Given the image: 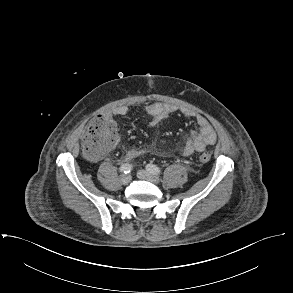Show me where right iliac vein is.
<instances>
[{
    "instance_id": "1",
    "label": "right iliac vein",
    "mask_w": 293,
    "mask_h": 293,
    "mask_svg": "<svg viewBox=\"0 0 293 293\" xmlns=\"http://www.w3.org/2000/svg\"><path fill=\"white\" fill-rule=\"evenodd\" d=\"M131 181V176L130 175H127V174H122L121 176H120V182L122 183V184H128L129 182Z\"/></svg>"
}]
</instances>
